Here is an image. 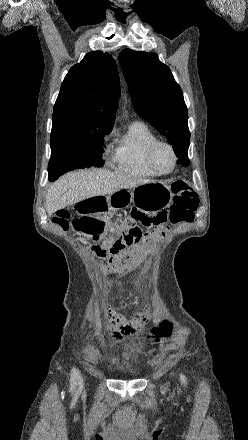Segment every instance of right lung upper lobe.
Instances as JSON below:
<instances>
[{
    "label": "right lung upper lobe",
    "mask_w": 248,
    "mask_h": 440,
    "mask_svg": "<svg viewBox=\"0 0 248 440\" xmlns=\"http://www.w3.org/2000/svg\"><path fill=\"white\" fill-rule=\"evenodd\" d=\"M119 95L113 57L102 51L87 53L62 83L54 105L51 146L112 130Z\"/></svg>",
    "instance_id": "obj_1"
}]
</instances>
